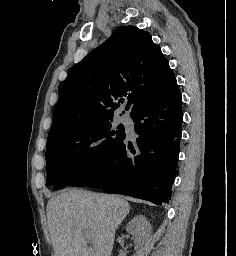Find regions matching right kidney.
<instances>
[{
    "instance_id": "1",
    "label": "right kidney",
    "mask_w": 236,
    "mask_h": 256,
    "mask_svg": "<svg viewBox=\"0 0 236 256\" xmlns=\"http://www.w3.org/2000/svg\"><path fill=\"white\" fill-rule=\"evenodd\" d=\"M128 234H132L135 250H146L151 244L152 226L145 216H135L126 226Z\"/></svg>"
}]
</instances>
